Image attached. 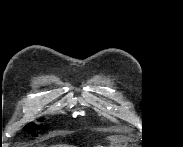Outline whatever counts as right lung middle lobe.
<instances>
[{
    "label": "right lung middle lobe",
    "mask_w": 183,
    "mask_h": 147,
    "mask_svg": "<svg viewBox=\"0 0 183 147\" xmlns=\"http://www.w3.org/2000/svg\"><path fill=\"white\" fill-rule=\"evenodd\" d=\"M41 129L43 128V126H39ZM27 131L31 132L33 135H35V130H34V126L32 124H29L26 127Z\"/></svg>",
    "instance_id": "right-lung-middle-lobe-1"
}]
</instances>
